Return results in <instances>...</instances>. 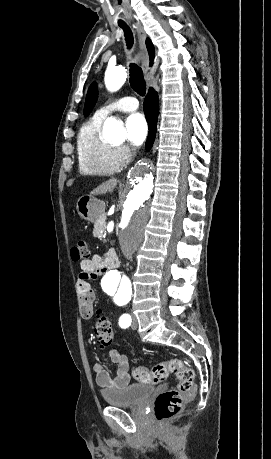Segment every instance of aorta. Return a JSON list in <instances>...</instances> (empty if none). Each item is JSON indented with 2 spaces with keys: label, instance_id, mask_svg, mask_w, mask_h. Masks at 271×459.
Instances as JSON below:
<instances>
[{
  "label": "aorta",
  "instance_id": "aorta-1",
  "mask_svg": "<svg viewBox=\"0 0 271 459\" xmlns=\"http://www.w3.org/2000/svg\"><path fill=\"white\" fill-rule=\"evenodd\" d=\"M127 78L122 66L109 68L105 73L106 88L119 90ZM103 135L111 139L124 136L122 124L115 118H108L103 126ZM154 188L153 165L149 160L137 162L128 172L126 188L120 196L119 243L125 257L130 258L143 241L146 225L152 216L151 194ZM101 287L107 294L117 291L130 292L131 282L120 271L110 269L101 280Z\"/></svg>",
  "mask_w": 271,
  "mask_h": 459
}]
</instances>
